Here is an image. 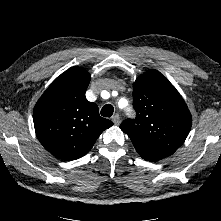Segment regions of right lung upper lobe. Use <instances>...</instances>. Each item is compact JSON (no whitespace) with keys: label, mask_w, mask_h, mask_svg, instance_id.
I'll return each mask as SVG.
<instances>
[{"label":"right lung upper lobe","mask_w":221,"mask_h":221,"mask_svg":"<svg viewBox=\"0 0 221 221\" xmlns=\"http://www.w3.org/2000/svg\"><path fill=\"white\" fill-rule=\"evenodd\" d=\"M91 75L72 67L57 77L38 100L33 121L38 140L53 156L75 160L87 154L113 123L99 115L85 92Z\"/></svg>","instance_id":"right-lung-upper-lobe-1"}]
</instances>
